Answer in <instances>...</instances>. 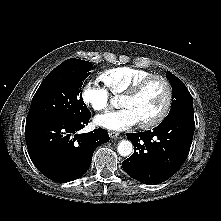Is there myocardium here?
<instances>
[{
  "label": "myocardium",
  "mask_w": 221,
  "mask_h": 221,
  "mask_svg": "<svg viewBox=\"0 0 221 221\" xmlns=\"http://www.w3.org/2000/svg\"><path fill=\"white\" fill-rule=\"evenodd\" d=\"M152 80H159L164 84L166 88V100L162 109L154 118L145 122H138L139 127L143 129H149L159 125L168 115L173 102V88L170 81L163 75L150 74L138 80L128 91L122 95V98H135Z\"/></svg>",
  "instance_id": "f54148a6"
}]
</instances>
